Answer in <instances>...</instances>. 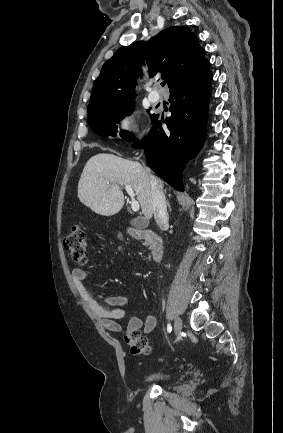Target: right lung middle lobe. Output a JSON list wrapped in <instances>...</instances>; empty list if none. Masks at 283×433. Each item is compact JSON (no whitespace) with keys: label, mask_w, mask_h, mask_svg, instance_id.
<instances>
[{"label":"right lung middle lobe","mask_w":283,"mask_h":433,"mask_svg":"<svg viewBox=\"0 0 283 433\" xmlns=\"http://www.w3.org/2000/svg\"><path fill=\"white\" fill-rule=\"evenodd\" d=\"M134 108V102L124 103L115 105L107 108H103L88 114L87 121L92 130L99 135H116L117 126L116 123L122 118L132 113ZM154 115H151V119ZM120 136L126 141H134L136 139L131 138L123 131L120 132Z\"/></svg>","instance_id":"right-lung-middle-lobe-1"}]
</instances>
